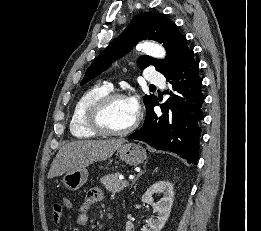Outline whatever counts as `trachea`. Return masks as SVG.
<instances>
[{
    "mask_svg": "<svg viewBox=\"0 0 261 231\" xmlns=\"http://www.w3.org/2000/svg\"><path fill=\"white\" fill-rule=\"evenodd\" d=\"M150 87H155L154 85H150Z\"/></svg>",
    "mask_w": 261,
    "mask_h": 231,
    "instance_id": "3493384b",
    "label": "trachea"
}]
</instances>
